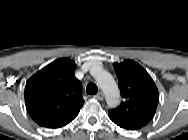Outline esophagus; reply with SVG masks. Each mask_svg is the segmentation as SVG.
<instances>
[{
  "label": "esophagus",
  "instance_id": "esophagus-1",
  "mask_svg": "<svg viewBox=\"0 0 188 140\" xmlns=\"http://www.w3.org/2000/svg\"><path fill=\"white\" fill-rule=\"evenodd\" d=\"M94 98H96L98 100H103L104 99V94L102 92H99L98 94H96L94 96Z\"/></svg>",
  "mask_w": 188,
  "mask_h": 140
}]
</instances>
